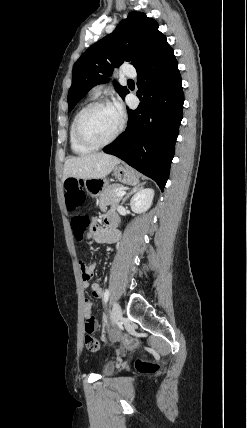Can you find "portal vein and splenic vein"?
<instances>
[{
	"label": "portal vein and splenic vein",
	"instance_id": "1",
	"mask_svg": "<svg viewBox=\"0 0 247 428\" xmlns=\"http://www.w3.org/2000/svg\"><path fill=\"white\" fill-rule=\"evenodd\" d=\"M125 193H126V191H125L124 189H122V190H119V191L116 193V196H117V197H122L123 195H125Z\"/></svg>",
	"mask_w": 247,
	"mask_h": 428
}]
</instances>
